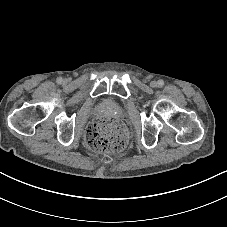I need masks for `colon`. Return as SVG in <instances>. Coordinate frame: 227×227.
Wrapping results in <instances>:
<instances>
[{
	"label": "colon",
	"mask_w": 227,
	"mask_h": 227,
	"mask_svg": "<svg viewBox=\"0 0 227 227\" xmlns=\"http://www.w3.org/2000/svg\"><path fill=\"white\" fill-rule=\"evenodd\" d=\"M85 142L99 153L122 151L127 143V131L122 123L107 117L93 121L86 129Z\"/></svg>",
	"instance_id": "colon-1"
}]
</instances>
